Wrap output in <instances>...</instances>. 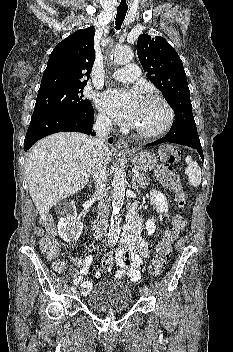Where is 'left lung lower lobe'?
<instances>
[{
	"instance_id": "1",
	"label": "left lung lower lobe",
	"mask_w": 233,
	"mask_h": 352,
	"mask_svg": "<svg viewBox=\"0 0 233 352\" xmlns=\"http://www.w3.org/2000/svg\"><path fill=\"white\" fill-rule=\"evenodd\" d=\"M166 142H170V143H176V144H180V145H185L191 148H194L198 151V153L200 154L202 160L204 159L203 156V151H202V147L200 144V140H199V136L198 133H189V134H185V135H176L173 133H168L167 135H165V137L147 144L146 146H153V145H157V144H161V143H166Z\"/></svg>"
}]
</instances>
